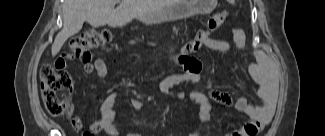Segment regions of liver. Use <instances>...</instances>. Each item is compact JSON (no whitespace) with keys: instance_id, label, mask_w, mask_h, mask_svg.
Masks as SVG:
<instances>
[{"instance_id":"obj_1","label":"liver","mask_w":325,"mask_h":136,"mask_svg":"<svg viewBox=\"0 0 325 136\" xmlns=\"http://www.w3.org/2000/svg\"><path fill=\"white\" fill-rule=\"evenodd\" d=\"M116 0H65L63 4V28L56 35L51 48L56 56L66 40L77 34L88 22L92 27L108 24L110 27H122L134 18L157 13L176 3V0H120L115 9Z\"/></svg>"}]
</instances>
